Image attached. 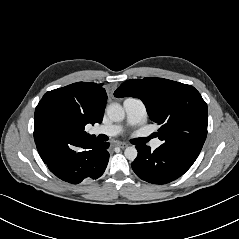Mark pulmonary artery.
<instances>
[{
	"mask_svg": "<svg viewBox=\"0 0 239 239\" xmlns=\"http://www.w3.org/2000/svg\"><path fill=\"white\" fill-rule=\"evenodd\" d=\"M123 108L125 110V122L128 125L142 124L147 118V110L144 103L134 97L126 98L123 102ZM123 130L121 124L102 125L93 129L94 134H104L107 136H116ZM161 145L159 139L152 141L151 146L157 148Z\"/></svg>",
	"mask_w": 239,
	"mask_h": 239,
	"instance_id": "obj_1",
	"label": "pulmonary artery"
}]
</instances>
